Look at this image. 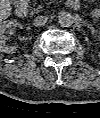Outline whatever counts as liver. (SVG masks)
Segmentation results:
<instances>
[{
    "mask_svg": "<svg viewBox=\"0 0 100 118\" xmlns=\"http://www.w3.org/2000/svg\"><path fill=\"white\" fill-rule=\"evenodd\" d=\"M0 8H1V18L3 19L7 18L11 12V4L9 0H1Z\"/></svg>",
    "mask_w": 100,
    "mask_h": 118,
    "instance_id": "1",
    "label": "liver"
}]
</instances>
